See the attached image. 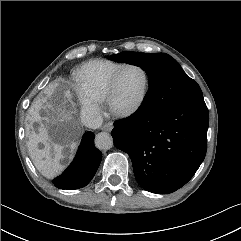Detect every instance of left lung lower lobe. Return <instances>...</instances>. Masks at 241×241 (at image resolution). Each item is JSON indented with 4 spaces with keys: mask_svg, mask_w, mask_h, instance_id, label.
Masks as SVG:
<instances>
[{
    "mask_svg": "<svg viewBox=\"0 0 241 241\" xmlns=\"http://www.w3.org/2000/svg\"><path fill=\"white\" fill-rule=\"evenodd\" d=\"M209 112L203 96L173 101L160 86L141 106L116 121L114 145L129 154L137 182L158 194L185 185L205 158Z\"/></svg>",
    "mask_w": 241,
    "mask_h": 241,
    "instance_id": "left-lung-lower-lobe-1",
    "label": "left lung lower lobe"
}]
</instances>
